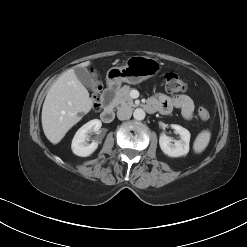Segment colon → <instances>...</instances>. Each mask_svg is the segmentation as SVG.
Masks as SVG:
<instances>
[{"label":"colon","mask_w":247,"mask_h":247,"mask_svg":"<svg viewBox=\"0 0 247 247\" xmlns=\"http://www.w3.org/2000/svg\"><path fill=\"white\" fill-rule=\"evenodd\" d=\"M164 87L169 92H183L186 90L187 85L185 81L174 72H166L163 75ZM94 99L96 101V106H99L100 96L98 88L94 89ZM198 115L202 120H208L210 118V112L205 107H200L198 110Z\"/></svg>","instance_id":"5ec220e1"}]
</instances>
